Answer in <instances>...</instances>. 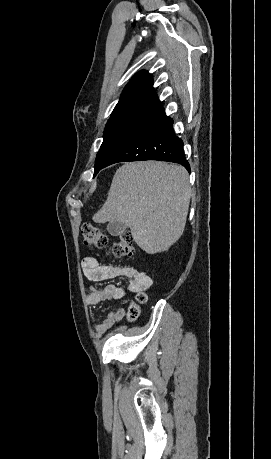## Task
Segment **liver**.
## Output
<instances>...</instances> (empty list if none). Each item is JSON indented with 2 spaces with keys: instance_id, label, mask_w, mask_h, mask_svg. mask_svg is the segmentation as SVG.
I'll use <instances>...</instances> for the list:
<instances>
[{
  "instance_id": "obj_1",
  "label": "liver",
  "mask_w": 271,
  "mask_h": 459,
  "mask_svg": "<svg viewBox=\"0 0 271 459\" xmlns=\"http://www.w3.org/2000/svg\"><path fill=\"white\" fill-rule=\"evenodd\" d=\"M190 198L189 176L183 166L131 162L116 170L109 196L92 220L126 224L147 253L167 251L184 231Z\"/></svg>"
}]
</instances>
